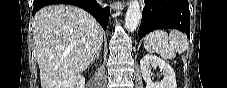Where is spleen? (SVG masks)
I'll return each instance as SVG.
<instances>
[{
  "mask_svg": "<svg viewBox=\"0 0 227 88\" xmlns=\"http://www.w3.org/2000/svg\"><path fill=\"white\" fill-rule=\"evenodd\" d=\"M144 47L149 53H159L164 59H172L187 49L188 39L177 30L170 31L169 35L165 31L156 30L144 38Z\"/></svg>",
  "mask_w": 227,
  "mask_h": 88,
  "instance_id": "1",
  "label": "spleen"
}]
</instances>
